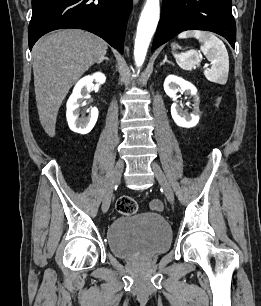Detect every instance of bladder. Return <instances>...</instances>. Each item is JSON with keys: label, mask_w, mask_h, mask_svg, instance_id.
<instances>
[{"label": "bladder", "mask_w": 261, "mask_h": 306, "mask_svg": "<svg viewBox=\"0 0 261 306\" xmlns=\"http://www.w3.org/2000/svg\"><path fill=\"white\" fill-rule=\"evenodd\" d=\"M110 251L123 259L151 257L166 252L172 242L168 222L156 213H140L114 220L107 229Z\"/></svg>", "instance_id": "31cf9c89"}]
</instances>
